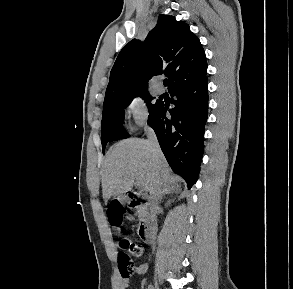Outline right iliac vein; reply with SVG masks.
<instances>
[{"label":"right iliac vein","instance_id":"1","mask_svg":"<svg viewBox=\"0 0 293 289\" xmlns=\"http://www.w3.org/2000/svg\"><path fill=\"white\" fill-rule=\"evenodd\" d=\"M154 289H160V287H159L157 282H155V288Z\"/></svg>","mask_w":293,"mask_h":289}]
</instances>
